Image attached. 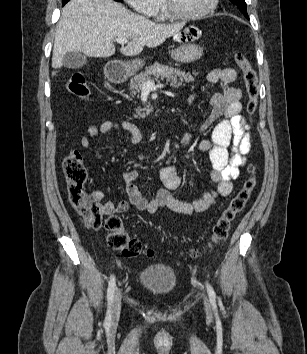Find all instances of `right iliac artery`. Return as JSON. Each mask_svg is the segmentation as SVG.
Masks as SVG:
<instances>
[{
  "label": "right iliac artery",
  "instance_id": "right-iliac-artery-1",
  "mask_svg": "<svg viewBox=\"0 0 307 354\" xmlns=\"http://www.w3.org/2000/svg\"><path fill=\"white\" fill-rule=\"evenodd\" d=\"M115 276L112 275L110 277L109 285H108V290H107V301H108V309H107V314H106V322L109 323L111 321V304L113 302V297H114V292H115Z\"/></svg>",
  "mask_w": 307,
  "mask_h": 354
}]
</instances>
